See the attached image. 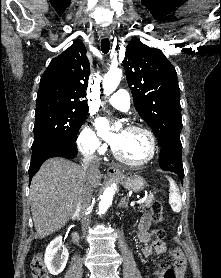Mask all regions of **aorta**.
I'll list each match as a JSON object with an SVG mask.
<instances>
[{
  "label": "aorta",
  "instance_id": "1",
  "mask_svg": "<svg viewBox=\"0 0 221 278\" xmlns=\"http://www.w3.org/2000/svg\"><path fill=\"white\" fill-rule=\"evenodd\" d=\"M122 77V70L119 68L110 69L103 78V92L106 96L112 94L118 87ZM115 190L114 186L107 187L99 202V214H104L112 204Z\"/></svg>",
  "mask_w": 221,
  "mask_h": 278
}]
</instances>
